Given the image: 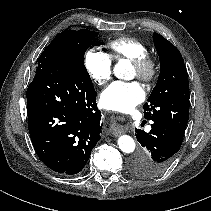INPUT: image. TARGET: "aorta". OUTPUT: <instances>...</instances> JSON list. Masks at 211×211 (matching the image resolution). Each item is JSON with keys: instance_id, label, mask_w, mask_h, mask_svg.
I'll list each match as a JSON object with an SVG mask.
<instances>
[{"instance_id": "obj_1", "label": "aorta", "mask_w": 211, "mask_h": 211, "mask_svg": "<svg viewBox=\"0 0 211 211\" xmlns=\"http://www.w3.org/2000/svg\"><path fill=\"white\" fill-rule=\"evenodd\" d=\"M125 70L123 61L118 62L114 67V74L117 78H122ZM118 146L124 153H132L135 150V142L129 135H121L118 138Z\"/></svg>"}]
</instances>
